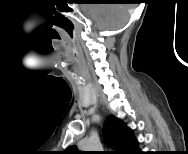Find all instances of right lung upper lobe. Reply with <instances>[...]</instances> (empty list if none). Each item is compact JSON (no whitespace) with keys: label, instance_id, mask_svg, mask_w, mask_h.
Returning a JSON list of instances; mask_svg holds the SVG:
<instances>
[{"label":"right lung upper lobe","instance_id":"1","mask_svg":"<svg viewBox=\"0 0 188 154\" xmlns=\"http://www.w3.org/2000/svg\"><path fill=\"white\" fill-rule=\"evenodd\" d=\"M105 134L119 154H135L139 151L137 140L132 131L120 119L114 115L108 116L104 126ZM68 153H76V147L71 146L66 150Z\"/></svg>","mask_w":188,"mask_h":154}]
</instances>
